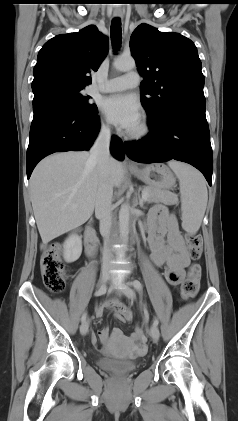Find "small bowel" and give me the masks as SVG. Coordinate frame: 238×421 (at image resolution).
<instances>
[{"mask_svg": "<svg viewBox=\"0 0 238 421\" xmlns=\"http://www.w3.org/2000/svg\"><path fill=\"white\" fill-rule=\"evenodd\" d=\"M147 232L152 262L158 267H165L168 282L178 285L193 265L190 263L176 216L163 206L154 207L148 216ZM105 309L111 310L119 321L132 319V313L128 307L116 299L107 300L99 306L96 309V316L101 318ZM98 336L105 346L123 343L136 347L138 343L144 341L140 327H137L129 337L124 336L120 329L116 328L110 332L107 327H104L98 331ZM91 340L95 345L98 343L95 334L92 335Z\"/></svg>", "mask_w": 238, "mask_h": 421, "instance_id": "small-bowel-1", "label": "small bowel"}]
</instances>
